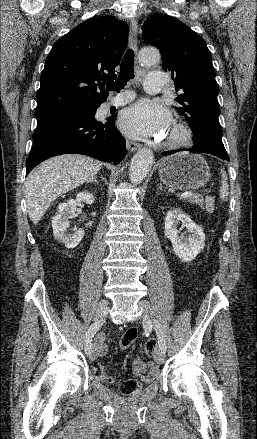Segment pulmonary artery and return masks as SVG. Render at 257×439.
Wrapping results in <instances>:
<instances>
[{
  "instance_id": "obj_1",
  "label": "pulmonary artery",
  "mask_w": 257,
  "mask_h": 439,
  "mask_svg": "<svg viewBox=\"0 0 257 439\" xmlns=\"http://www.w3.org/2000/svg\"><path fill=\"white\" fill-rule=\"evenodd\" d=\"M166 79L164 74L155 72V73H149L144 81V89L148 93H160L162 89L164 88ZM133 95L130 93H125L122 95H119L109 101V105L113 106H120L127 102H129L132 99Z\"/></svg>"
}]
</instances>
